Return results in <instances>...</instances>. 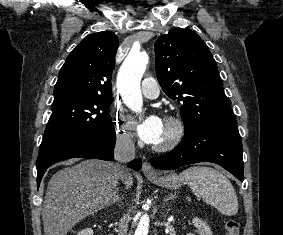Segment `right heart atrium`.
<instances>
[{
  "instance_id": "obj_1",
  "label": "right heart atrium",
  "mask_w": 283,
  "mask_h": 235,
  "mask_svg": "<svg viewBox=\"0 0 283 235\" xmlns=\"http://www.w3.org/2000/svg\"><path fill=\"white\" fill-rule=\"evenodd\" d=\"M115 132L117 138L126 144H131L135 139V132L132 124L120 114L114 118Z\"/></svg>"
}]
</instances>
